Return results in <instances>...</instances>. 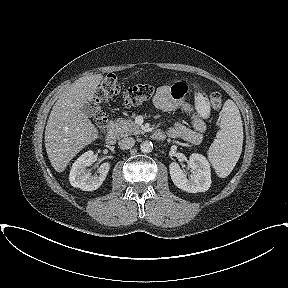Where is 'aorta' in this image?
<instances>
[{
	"label": "aorta",
	"instance_id": "aorta-1",
	"mask_svg": "<svg viewBox=\"0 0 288 288\" xmlns=\"http://www.w3.org/2000/svg\"><path fill=\"white\" fill-rule=\"evenodd\" d=\"M152 149H153V143L151 141L146 140L140 144V150L143 153H150Z\"/></svg>",
	"mask_w": 288,
	"mask_h": 288
}]
</instances>
